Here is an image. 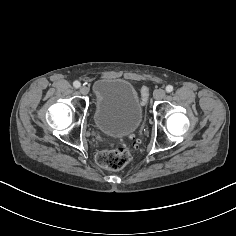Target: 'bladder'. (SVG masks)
Instances as JSON below:
<instances>
[{
    "mask_svg": "<svg viewBox=\"0 0 236 236\" xmlns=\"http://www.w3.org/2000/svg\"><path fill=\"white\" fill-rule=\"evenodd\" d=\"M93 118L108 136L132 134L142 123L144 106L133 85L124 79L102 78L93 86Z\"/></svg>",
    "mask_w": 236,
    "mask_h": 236,
    "instance_id": "bladder-1",
    "label": "bladder"
}]
</instances>
